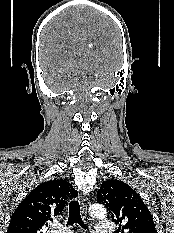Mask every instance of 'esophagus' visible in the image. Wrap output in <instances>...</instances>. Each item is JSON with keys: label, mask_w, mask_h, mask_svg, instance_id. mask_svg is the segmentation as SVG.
<instances>
[{"label": "esophagus", "mask_w": 174, "mask_h": 233, "mask_svg": "<svg viewBox=\"0 0 174 233\" xmlns=\"http://www.w3.org/2000/svg\"><path fill=\"white\" fill-rule=\"evenodd\" d=\"M79 202L81 205L82 212L86 213V211H87V198H86V196L83 194H80L79 195Z\"/></svg>", "instance_id": "1"}]
</instances>
